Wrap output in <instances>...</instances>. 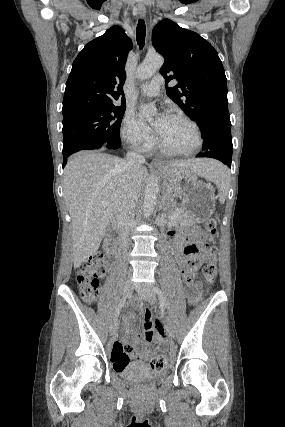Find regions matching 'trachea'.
I'll use <instances>...</instances> for the list:
<instances>
[{
    "mask_svg": "<svg viewBox=\"0 0 285 427\" xmlns=\"http://www.w3.org/2000/svg\"><path fill=\"white\" fill-rule=\"evenodd\" d=\"M146 26L144 20L140 19L136 28V40L140 49H143L145 44Z\"/></svg>",
    "mask_w": 285,
    "mask_h": 427,
    "instance_id": "obj_1",
    "label": "trachea"
}]
</instances>
